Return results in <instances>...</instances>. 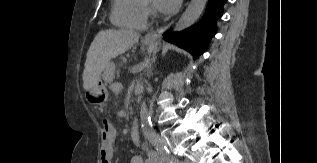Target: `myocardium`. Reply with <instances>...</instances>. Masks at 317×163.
Returning <instances> with one entry per match:
<instances>
[{
  "label": "myocardium",
  "instance_id": "f54148a6",
  "mask_svg": "<svg viewBox=\"0 0 317 163\" xmlns=\"http://www.w3.org/2000/svg\"><path fill=\"white\" fill-rule=\"evenodd\" d=\"M143 3H144L145 10L149 12L150 14H153L151 5L146 0H143Z\"/></svg>",
  "mask_w": 317,
  "mask_h": 163
}]
</instances>
